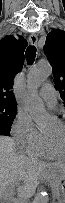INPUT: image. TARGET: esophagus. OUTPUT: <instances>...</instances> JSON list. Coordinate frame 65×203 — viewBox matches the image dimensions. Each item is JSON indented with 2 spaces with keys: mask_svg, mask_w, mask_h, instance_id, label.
Wrapping results in <instances>:
<instances>
[{
  "mask_svg": "<svg viewBox=\"0 0 65 203\" xmlns=\"http://www.w3.org/2000/svg\"><path fill=\"white\" fill-rule=\"evenodd\" d=\"M29 41L32 45H36L37 44V41H38V37L36 34H30L29 36Z\"/></svg>",
  "mask_w": 65,
  "mask_h": 203,
  "instance_id": "obj_1",
  "label": "esophagus"
}]
</instances>
